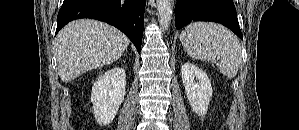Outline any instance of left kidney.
Masks as SVG:
<instances>
[{"instance_id":"1","label":"left kidney","mask_w":299,"mask_h":130,"mask_svg":"<svg viewBox=\"0 0 299 130\" xmlns=\"http://www.w3.org/2000/svg\"><path fill=\"white\" fill-rule=\"evenodd\" d=\"M181 72L182 82L192 110L199 116H204L213 93L207 74L189 62L182 66Z\"/></svg>"}]
</instances>
